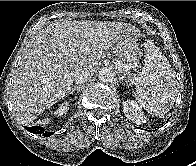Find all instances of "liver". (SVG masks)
Here are the masks:
<instances>
[{"label": "liver", "instance_id": "6515ba94", "mask_svg": "<svg viewBox=\"0 0 196 166\" xmlns=\"http://www.w3.org/2000/svg\"><path fill=\"white\" fill-rule=\"evenodd\" d=\"M138 30L129 23L55 21L32 37L14 76L13 110L28 125L70 93L76 72L92 75L98 60Z\"/></svg>", "mask_w": 196, "mask_h": 166}]
</instances>
